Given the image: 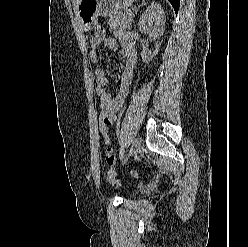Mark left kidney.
<instances>
[{
    "label": "left kidney",
    "mask_w": 248,
    "mask_h": 247,
    "mask_svg": "<svg viewBox=\"0 0 248 247\" xmlns=\"http://www.w3.org/2000/svg\"><path fill=\"white\" fill-rule=\"evenodd\" d=\"M165 22V13L161 5L152 3L139 19V31L142 34L153 37L154 39H159L163 35ZM159 46L160 44H155V50L153 53L143 51L141 53L143 60L148 62L156 56L159 51Z\"/></svg>",
    "instance_id": "1"
}]
</instances>
